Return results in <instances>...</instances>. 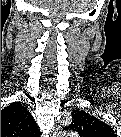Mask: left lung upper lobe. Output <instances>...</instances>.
Masks as SVG:
<instances>
[{"instance_id": "obj_1", "label": "left lung upper lobe", "mask_w": 121, "mask_h": 137, "mask_svg": "<svg viewBox=\"0 0 121 137\" xmlns=\"http://www.w3.org/2000/svg\"><path fill=\"white\" fill-rule=\"evenodd\" d=\"M66 129H72L79 134H89L97 137H112L114 130L96 117H93L85 111L73 112V121Z\"/></svg>"}]
</instances>
